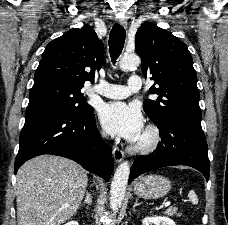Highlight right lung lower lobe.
Returning <instances> with one entry per match:
<instances>
[{
  "label": "right lung lower lobe",
  "mask_w": 228,
  "mask_h": 225,
  "mask_svg": "<svg viewBox=\"0 0 228 225\" xmlns=\"http://www.w3.org/2000/svg\"><path fill=\"white\" fill-rule=\"evenodd\" d=\"M19 143L15 173L25 161L42 154L72 159L106 181L113 171L112 149L98 132L93 108L87 113L54 106L26 111Z\"/></svg>",
  "instance_id": "right-lung-lower-lobe-1"
}]
</instances>
